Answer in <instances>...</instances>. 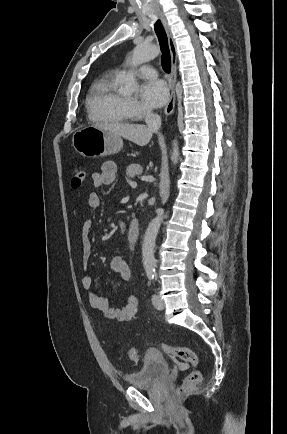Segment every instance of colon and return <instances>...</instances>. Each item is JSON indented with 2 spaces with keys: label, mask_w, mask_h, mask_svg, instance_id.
Wrapping results in <instances>:
<instances>
[{
  "label": "colon",
  "mask_w": 287,
  "mask_h": 434,
  "mask_svg": "<svg viewBox=\"0 0 287 434\" xmlns=\"http://www.w3.org/2000/svg\"><path fill=\"white\" fill-rule=\"evenodd\" d=\"M86 179V171L82 165H76L72 171L71 186L74 189L81 187ZM162 348L172 357L188 363L191 370L184 378L182 384L178 387L176 395L178 397L191 391L199 385L202 379L200 370L198 369V358L195 353L187 347H178L169 344H163ZM126 356L130 361H138V350L135 347H129L126 351Z\"/></svg>",
  "instance_id": "1"
}]
</instances>
